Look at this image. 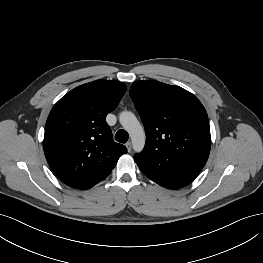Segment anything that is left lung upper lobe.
<instances>
[{"instance_id": "1", "label": "left lung upper lobe", "mask_w": 263, "mask_h": 263, "mask_svg": "<svg viewBox=\"0 0 263 263\" xmlns=\"http://www.w3.org/2000/svg\"><path fill=\"white\" fill-rule=\"evenodd\" d=\"M129 94L147 136L144 150L136 155L201 171L211 147L208 116L201 102L181 87L158 81L134 82Z\"/></svg>"}]
</instances>
